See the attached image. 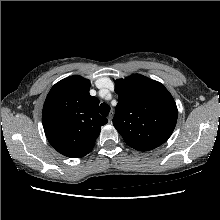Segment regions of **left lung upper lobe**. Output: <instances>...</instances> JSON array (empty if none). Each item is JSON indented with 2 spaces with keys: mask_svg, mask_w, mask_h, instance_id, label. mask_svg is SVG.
<instances>
[{
  "mask_svg": "<svg viewBox=\"0 0 220 220\" xmlns=\"http://www.w3.org/2000/svg\"><path fill=\"white\" fill-rule=\"evenodd\" d=\"M114 82L119 102L113 125L127 145L149 151L166 142L175 128L178 110L164 85L140 74Z\"/></svg>",
  "mask_w": 220,
  "mask_h": 220,
  "instance_id": "obj_1",
  "label": "left lung upper lobe"
}]
</instances>
